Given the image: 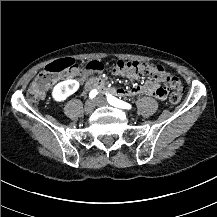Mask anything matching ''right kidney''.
Here are the masks:
<instances>
[{
    "mask_svg": "<svg viewBox=\"0 0 217 217\" xmlns=\"http://www.w3.org/2000/svg\"><path fill=\"white\" fill-rule=\"evenodd\" d=\"M80 88V82L76 79H68L57 83L52 89V99L55 102H62L68 96L76 93Z\"/></svg>",
    "mask_w": 217,
    "mask_h": 217,
    "instance_id": "1",
    "label": "right kidney"
}]
</instances>
